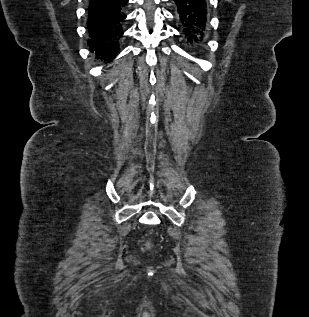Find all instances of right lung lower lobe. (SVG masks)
Masks as SVG:
<instances>
[{"label":"right lung lower lobe","instance_id":"98d812e1","mask_svg":"<svg viewBox=\"0 0 309 317\" xmlns=\"http://www.w3.org/2000/svg\"><path fill=\"white\" fill-rule=\"evenodd\" d=\"M128 0H90L88 45L97 59L111 61L119 53Z\"/></svg>","mask_w":309,"mask_h":317}]
</instances>
